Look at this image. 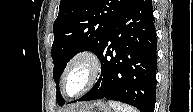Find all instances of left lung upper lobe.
<instances>
[{
  "label": "left lung upper lobe",
  "mask_w": 193,
  "mask_h": 112,
  "mask_svg": "<svg viewBox=\"0 0 193 112\" xmlns=\"http://www.w3.org/2000/svg\"><path fill=\"white\" fill-rule=\"evenodd\" d=\"M133 0H61L53 25L54 42L51 56L57 89L67 62L77 53L101 51L106 38L119 17ZM59 106L65 104L59 91Z\"/></svg>",
  "instance_id": "5c2ea615"
}]
</instances>
